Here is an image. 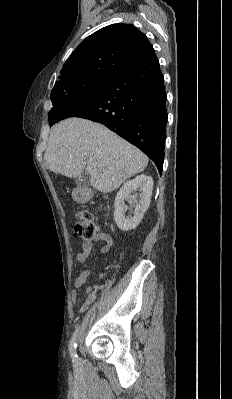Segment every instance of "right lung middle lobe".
Segmentation results:
<instances>
[{
  "label": "right lung middle lobe",
  "mask_w": 232,
  "mask_h": 399,
  "mask_svg": "<svg viewBox=\"0 0 232 399\" xmlns=\"http://www.w3.org/2000/svg\"><path fill=\"white\" fill-rule=\"evenodd\" d=\"M107 82L108 78H83L73 82L62 93L51 95L53 107L49 112V125L52 126L55 123L56 118L67 105L90 97Z\"/></svg>",
  "instance_id": "obj_1"
}]
</instances>
